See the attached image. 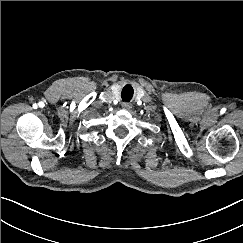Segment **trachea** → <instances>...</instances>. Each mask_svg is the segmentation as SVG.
I'll return each mask as SVG.
<instances>
[{
	"instance_id": "3493384b",
	"label": "trachea",
	"mask_w": 243,
	"mask_h": 243,
	"mask_svg": "<svg viewBox=\"0 0 243 243\" xmlns=\"http://www.w3.org/2000/svg\"><path fill=\"white\" fill-rule=\"evenodd\" d=\"M131 96L128 95L126 92H125V89L122 91V100L123 101H126V102H129Z\"/></svg>"
}]
</instances>
